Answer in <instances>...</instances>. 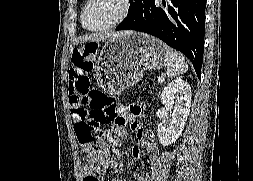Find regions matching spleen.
<instances>
[{
  "instance_id": "3e777b00",
  "label": "spleen",
  "mask_w": 253,
  "mask_h": 181,
  "mask_svg": "<svg viewBox=\"0 0 253 181\" xmlns=\"http://www.w3.org/2000/svg\"><path fill=\"white\" fill-rule=\"evenodd\" d=\"M188 69L185 58L170 47L166 49V74L175 77L183 74Z\"/></svg>"
}]
</instances>
